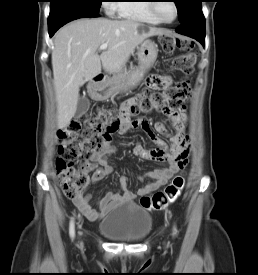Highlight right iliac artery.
Returning a JSON list of instances; mask_svg holds the SVG:
<instances>
[{"label": "right iliac artery", "mask_w": 258, "mask_h": 275, "mask_svg": "<svg viewBox=\"0 0 258 275\" xmlns=\"http://www.w3.org/2000/svg\"><path fill=\"white\" fill-rule=\"evenodd\" d=\"M69 234L70 237L73 239L75 236V225H74V219L72 218L69 225Z\"/></svg>", "instance_id": "1"}]
</instances>
